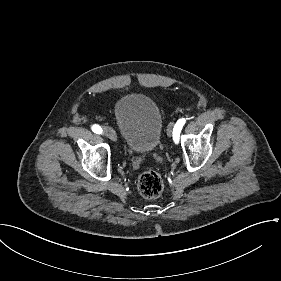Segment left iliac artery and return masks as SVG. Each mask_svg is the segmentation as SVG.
I'll return each mask as SVG.
<instances>
[{
    "instance_id": "44dca946",
    "label": "left iliac artery",
    "mask_w": 281,
    "mask_h": 281,
    "mask_svg": "<svg viewBox=\"0 0 281 281\" xmlns=\"http://www.w3.org/2000/svg\"><path fill=\"white\" fill-rule=\"evenodd\" d=\"M184 124H185V119L184 118L179 119L177 121V123L175 124L174 130H173V139H174L175 142H178L179 134H180V131H181V129H182Z\"/></svg>"
}]
</instances>
